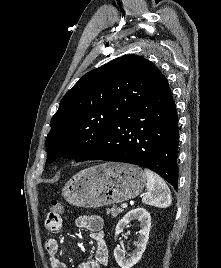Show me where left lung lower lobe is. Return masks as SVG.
<instances>
[{
    "label": "left lung lower lobe",
    "mask_w": 221,
    "mask_h": 268,
    "mask_svg": "<svg viewBox=\"0 0 221 268\" xmlns=\"http://www.w3.org/2000/svg\"><path fill=\"white\" fill-rule=\"evenodd\" d=\"M178 139V116L167 86L117 118L87 160L145 166L177 189Z\"/></svg>",
    "instance_id": "left-lung-lower-lobe-1"
}]
</instances>
